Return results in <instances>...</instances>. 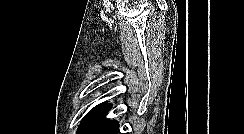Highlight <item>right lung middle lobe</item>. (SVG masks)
<instances>
[{
	"instance_id": "obj_1",
	"label": "right lung middle lobe",
	"mask_w": 244,
	"mask_h": 134,
	"mask_svg": "<svg viewBox=\"0 0 244 134\" xmlns=\"http://www.w3.org/2000/svg\"><path fill=\"white\" fill-rule=\"evenodd\" d=\"M111 107V104L103 103L91 109L81 121L77 134H112L119 124L105 118Z\"/></svg>"
}]
</instances>
